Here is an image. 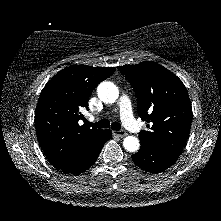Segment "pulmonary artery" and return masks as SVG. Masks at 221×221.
Returning <instances> with one entry per match:
<instances>
[{"mask_svg":"<svg viewBox=\"0 0 221 221\" xmlns=\"http://www.w3.org/2000/svg\"><path fill=\"white\" fill-rule=\"evenodd\" d=\"M120 116L125 127L132 132L141 130L140 124L135 120L132 113L131 103L126 95H122L118 101Z\"/></svg>","mask_w":221,"mask_h":221,"instance_id":"e3ab8cb5","label":"pulmonary artery"}]
</instances>
